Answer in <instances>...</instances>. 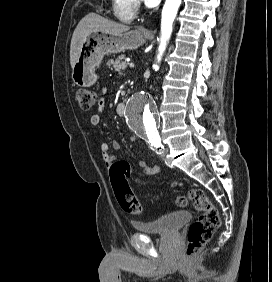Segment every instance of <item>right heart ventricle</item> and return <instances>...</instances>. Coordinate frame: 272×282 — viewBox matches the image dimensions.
Listing matches in <instances>:
<instances>
[{
	"instance_id": "obj_1",
	"label": "right heart ventricle",
	"mask_w": 272,
	"mask_h": 282,
	"mask_svg": "<svg viewBox=\"0 0 272 282\" xmlns=\"http://www.w3.org/2000/svg\"><path fill=\"white\" fill-rule=\"evenodd\" d=\"M112 3L114 5V14L120 20L130 22L134 18L135 12L131 0H112Z\"/></svg>"
}]
</instances>
